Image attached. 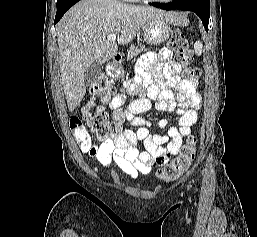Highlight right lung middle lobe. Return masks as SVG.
I'll return each mask as SVG.
<instances>
[{"label": "right lung middle lobe", "instance_id": "obj_1", "mask_svg": "<svg viewBox=\"0 0 257 237\" xmlns=\"http://www.w3.org/2000/svg\"><path fill=\"white\" fill-rule=\"evenodd\" d=\"M69 0H57V6L68 2Z\"/></svg>", "mask_w": 257, "mask_h": 237}]
</instances>
